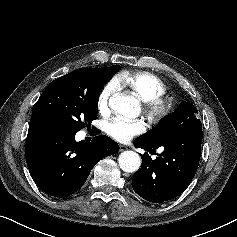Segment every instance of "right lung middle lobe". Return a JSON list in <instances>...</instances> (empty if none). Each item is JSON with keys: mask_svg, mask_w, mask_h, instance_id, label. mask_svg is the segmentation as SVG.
I'll list each match as a JSON object with an SVG mask.
<instances>
[{"mask_svg": "<svg viewBox=\"0 0 237 237\" xmlns=\"http://www.w3.org/2000/svg\"><path fill=\"white\" fill-rule=\"evenodd\" d=\"M119 65L90 68L91 82L78 83L62 76L44 90L36 103V113L44 128L76 133L97 118L101 88L114 74Z\"/></svg>", "mask_w": 237, "mask_h": 237, "instance_id": "right-lung-middle-lobe-1", "label": "right lung middle lobe"}]
</instances>
